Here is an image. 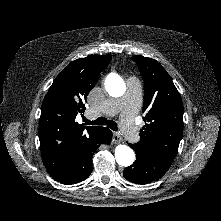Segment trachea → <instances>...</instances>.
Listing matches in <instances>:
<instances>
[{
	"label": "trachea",
	"mask_w": 221,
	"mask_h": 221,
	"mask_svg": "<svg viewBox=\"0 0 221 221\" xmlns=\"http://www.w3.org/2000/svg\"><path fill=\"white\" fill-rule=\"evenodd\" d=\"M86 125H107L110 129L116 131L118 129L117 123L113 120H108L105 117H99L94 121H90L86 118L83 119Z\"/></svg>",
	"instance_id": "obj_1"
}]
</instances>
